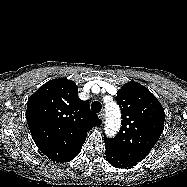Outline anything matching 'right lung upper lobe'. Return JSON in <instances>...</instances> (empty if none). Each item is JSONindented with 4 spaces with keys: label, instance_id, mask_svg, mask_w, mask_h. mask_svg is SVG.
<instances>
[{
    "label": "right lung upper lobe",
    "instance_id": "right-lung-upper-lobe-1",
    "mask_svg": "<svg viewBox=\"0 0 187 187\" xmlns=\"http://www.w3.org/2000/svg\"><path fill=\"white\" fill-rule=\"evenodd\" d=\"M78 87L66 78L42 85L27 102L26 118L40 151L56 162H68L80 152L86 134L102 121L78 97Z\"/></svg>",
    "mask_w": 187,
    "mask_h": 187
}]
</instances>
